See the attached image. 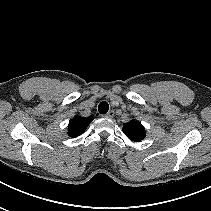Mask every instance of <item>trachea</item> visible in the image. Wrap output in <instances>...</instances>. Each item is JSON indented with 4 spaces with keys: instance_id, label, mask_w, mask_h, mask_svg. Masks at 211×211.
<instances>
[{
    "instance_id": "1",
    "label": "trachea",
    "mask_w": 211,
    "mask_h": 211,
    "mask_svg": "<svg viewBox=\"0 0 211 211\" xmlns=\"http://www.w3.org/2000/svg\"><path fill=\"white\" fill-rule=\"evenodd\" d=\"M109 110V105L106 101H102L98 106V111L100 114H106Z\"/></svg>"
}]
</instances>
